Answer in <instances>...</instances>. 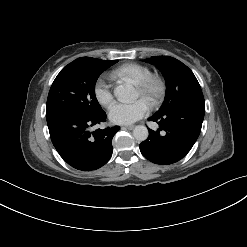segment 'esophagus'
Returning a JSON list of instances; mask_svg holds the SVG:
<instances>
[{
    "label": "esophagus",
    "mask_w": 247,
    "mask_h": 247,
    "mask_svg": "<svg viewBox=\"0 0 247 247\" xmlns=\"http://www.w3.org/2000/svg\"><path fill=\"white\" fill-rule=\"evenodd\" d=\"M134 127H135V125H126L123 128L128 129V130H132V129H134Z\"/></svg>",
    "instance_id": "esophagus-1"
}]
</instances>
